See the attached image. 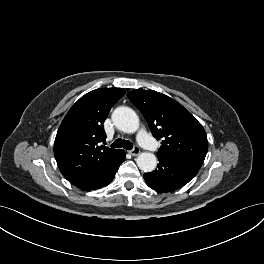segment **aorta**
<instances>
[{
  "label": "aorta",
  "mask_w": 264,
  "mask_h": 264,
  "mask_svg": "<svg viewBox=\"0 0 264 264\" xmlns=\"http://www.w3.org/2000/svg\"><path fill=\"white\" fill-rule=\"evenodd\" d=\"M112 119L118 129L125 133H134L139 128V118L136 112L125 106L116 108ZM136 163L143 172H151L156 168L157 159L153 153L143 152L138 155Z\"/></svg>",
  "instance_id": "obj_1"
}]
</instances>
